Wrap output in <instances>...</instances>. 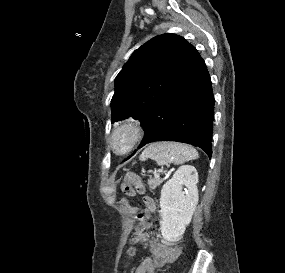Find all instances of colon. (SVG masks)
I'll use <instances>...</instances> for the list:
<instances>
[{"label": "colon", "mask_w": 285, "mask_h": 273, "mask_svg": "<svg viewBox=\"0 0 285 273\" xmlns=\"http://www.w3.org/2000/svg\"><path fill=\"white\" fill-rule=\"evenodd\" d=\"M120 188L124 194L129 196H134L135 194L142 193L144 191L143 183L140 177L133 173H128L125 175ZM147 214V211H145L144 208H141L139 214L137 215L139 222H146L148 218ZM148 231L149 223H138L137 231L131 239L133 246L127 251L129 258H133L135 256L136 250L134 245L139 243L144 233Z\"/></svg>", "instance_id": "1"}]
</instances>
